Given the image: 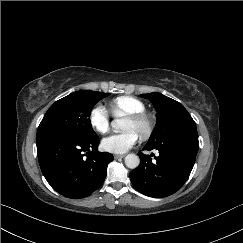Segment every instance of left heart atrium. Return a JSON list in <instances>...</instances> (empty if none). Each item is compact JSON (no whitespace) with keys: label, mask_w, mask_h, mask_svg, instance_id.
I'll use <instances>...</instances> for the list:
<instances>
[{"label":"left heart atrium","mask_w":243,"mask_h":243,"mask_svg":"<svg viewBox=\"0 0 243 243\" xmlns=\"http://www.w3.org/2000/svg\"><path fill=\"white\" fill-rule=\"evenodd\" d=\"M137 140L138 135L132 130H127L105 137L102 141V147L108 152L122 154L131 149Z\"/></svg>","instance_id":"1"}]
</instances>
